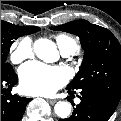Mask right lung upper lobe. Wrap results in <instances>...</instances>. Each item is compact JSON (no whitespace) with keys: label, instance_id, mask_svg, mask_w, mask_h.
I'll list each match as a JSON object with an SVG mask.
<instances>
[{"label":"right lung upper lobe","instance_id":"1","mask_svg":"<svg viewBox=\"0 0 121 121\" xmlns=\"http://www.w3.org/2000/svg\"><path fill=\"white\" fill-rule=\"evenodd\" d=\"M31 28H33L34 30H37V29L39 30V27H31ZM38 30H37V31H38ZM37 31H34V32H37ZM34 32H33V33H34Z\"/></svg>","mask_w":121,"mask_h":121}]
</instances>
